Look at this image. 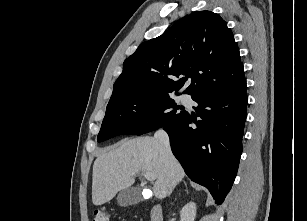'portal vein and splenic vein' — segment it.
I'll list each match as a JSON object with an SVG mask.
<instances>
[{
  "label": "portal vein and splenic vein",
  "instance_id": "18ae733b",
  "mask_svg": "<svg viewBox=\"0 0 307 221\" xmlns=\"http://www.w3.org/2000/svg\"><path fill=\"white\" fill-rule=\"evenodd\" d=\"M143 175L149 181H154L156 179L155 175L150 172H143Z\"/></svg>",
  "mask_w": 307,
  "mask_h": 221
}]
</instances>
